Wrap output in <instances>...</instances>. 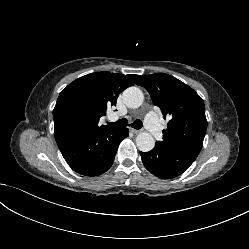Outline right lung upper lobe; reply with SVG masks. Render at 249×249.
Masks as SVG:
<instances>
[{
	"instance_id": "cb5924a9",
	"label": "right lung upper lobe",
	"mask_w": 249,
	"mask_h": 249,
	"mask_svg": "<svg viewBox=\"0 0 249 249\" xmlns=\"http://www.w3.org/2000/svg\"><path fill=\"white\" fill-rule=\"evenodd\" d=\"M143 76L96 72L70 83L59 94L53 110L55 136L64 133L96 134L114 129L99 125L108 106H115L119 94L139 84Z\"/></svg>"
}]
</instances>
